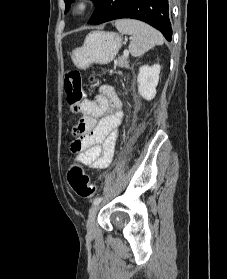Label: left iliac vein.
Returning a JSON list of instances; mask_svg holds the SVG:
<instances>
[{"label": "left iliac vein", "mask_w": 227, "mask_h": 279, "mask_svg": "<svg viewBox=\"0 0 227 279\" xmlns=\"http://www.w3.org/2000/svg\"><path fill=\"white\" fill-rule=\"evenodd\" d=\"M100 207H101L100 203L94 204L89 211L88 220H87V231H88L89 235L94 234L95 219H96V216H97V213H98Z\"/></svg>", "instance_id": "left-iliac-vein-1"}]
</instances>
